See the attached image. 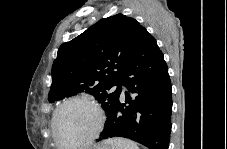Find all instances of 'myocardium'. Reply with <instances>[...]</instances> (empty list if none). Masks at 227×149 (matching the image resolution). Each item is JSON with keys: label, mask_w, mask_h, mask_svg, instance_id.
<instances>
[{"label": "myocardium", "mask_w": 227, "mask_h": 149, "mask_svg": "<svg viewBox=\"0 0 227 149\" xmlns=\"http://www.w3.org/2000/svg\"><path fill=\"white\" fill-rule=\"evenodd\" d=\"M72 103H82L85 105L90 106L94 112L96 113L97 116V123L95 125V128L93 129L92 133L83 139L82 141L76 142V143H71V144H63L60 142L57 134V117L60 111L67 105L72 104ZM105 123V115L102 110V108L93 100L86 98V97H72L69 98L65 101H63L61 104L57 106L55 109L53 116H52V121H51V127H52V136L55 144L57 146H62V147H70V148H75V147H82V146H87L90 145L94 140L97 139V137L100 135Z\"/></svg>", "instance_id": "myocardium-1"}]
</instances>
